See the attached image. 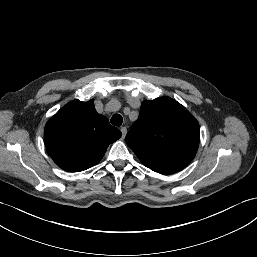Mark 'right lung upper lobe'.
<instances>
[{"label":"right lung upper lobe","instance_id":"obj_1","mask_svg":"<svg viewBox=\"0 0 257 257\" xmlns=\"http://www.w3.org/2000/svg\"><path fill=\"white\" fill-rule=\"evenodd\" d=\"M121 137L108 119L96 112L93 100H73L47 123L44 142L53 161L68 172H79L97 164L107 147Z\"/></svg>","mask_w":257,"mask_h":257}]
</instances>
